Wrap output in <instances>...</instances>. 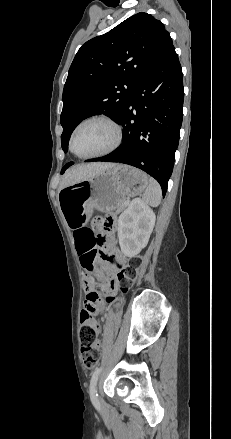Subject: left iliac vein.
Here are the masks:
<instances>
[{"instance_id":"1","label":"left iliac vein","mask_w":231,"mask_h":439,"mask_svg":"<svg viewBox=\"0 0 231 439\" xmlns=\"http://www.w3.org/2000/svg\"><path fill=\"white\" fill-rule=\"evenodd\" d=\"M98 401L100 405H103V401L100 398L98 399Z\"/></svg>"}]
</instances>
